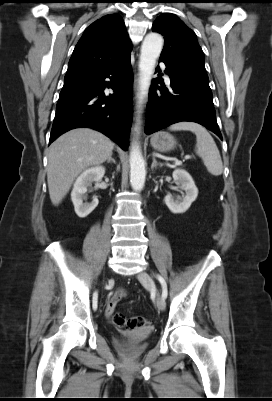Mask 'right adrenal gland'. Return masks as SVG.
<instances>
[{
	"label": "right adrenal gland",
	"instance_id": "1",
	"mask_svg": "<svg viewBox=\"0 0 272 401\" xmlns=\"http://www.w3.org/2000/svg\"><path fill=\"white\" fill-rule=\"evenodd\" d=\"M113 162L114 164H116V161L114 158H112V156L107 160V163Z\"/></svg>",
	"mask_w": 272,
	"mask_h": 401
}]
</instances>
